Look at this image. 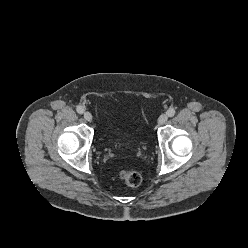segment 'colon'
I'll list each match as a JSON object with an SVG mask.
<instances>
[{
	"instance_id": "5ec220e1",
	"label": "colon",
	"mask_w": 248,
	"mask_h": 248,
	"mask_svg": "<svg viewBox=\"0 0 248 248\" xmlns=\"http://www.w3.org/2000/svg\"><path fill=\"white\" fill-rule=\"evenodd\" d=\"M119 176L130 187H137L142 182V176L137 171H121Z\"/></svg>"
}]
</instances>
